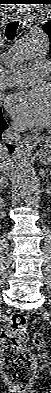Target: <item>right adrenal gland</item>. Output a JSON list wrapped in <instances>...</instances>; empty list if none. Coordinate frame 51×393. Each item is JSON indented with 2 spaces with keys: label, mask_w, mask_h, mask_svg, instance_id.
<instances>
[{
  "label": "right adrenal gland",
  "mask_w": 51,
  "mask_h": 393,
  "mask_svg": "<svg viewBox=\"0 0 51 393\" xmlns=\"http://www.w3.org/2000/svg\"><path fill=\"white\" fill-rule=\"evenodd\" d=\"M7 187V180L4 177L0 179V190L3 191Z\"/></svg>",
  "instance_id": "right-adrenal-gland-1"
}]
</instances>
